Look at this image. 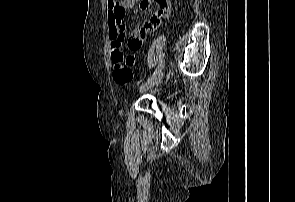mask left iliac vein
Returning a JSON list of instances; mask_svg holds the SVG:
<instances>
[{
	"label": "left iliac vein",
	"mask_w": 295,
	"mask_h": 202,
	"mask_svg": "<svg viewBox=\"0 0 295 202\" xmlns=\"http://www.w3.org/2000/svg\"><path fill=\"white\" fill-rule=\"evenodd\" d=\"M164 71H161L159 74H157L155 77H153L152 79H149L148 81H146L145 83H143L140 88H139V92H145L148 89L152 88L153 86H155L156 84H158L161 79L164 76Z\"/></svg>",
	"instance_id": "1"
}]
</instances>
